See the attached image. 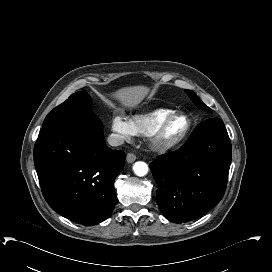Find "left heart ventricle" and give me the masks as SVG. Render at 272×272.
<instances>
[{
  "label": "left heart ventricle",
  "instance_id": "1",
  "mask_svg": "<svg viewBox=\"0 0 272 272\" xmlns=\"http://www.w3.org/2000/svg\"><path fill=\"white\" fill-rule=\"evenodd\" d=\"M186 125L184 118H178L175 119L169 126V128L166 131L165 137L167 139H173L180 135L182 131L184 130Z\"/></svg>",
  "mask_w": 272,
  "mask_h": 272
}]
</instances>
